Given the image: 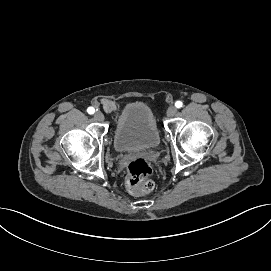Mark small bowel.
Returning <instances> with one entry per match:
<instances>
[{
	"label": "small bowel",
	"mask_w": 271,
	"mask_h": 271,
	"mask_svg": "<svg viewBox=\"0 0 271 271\" xmlns=\"http://www.w3.org/2000/svg\"><path fill=\"white\" fill-rule=\"evenodd\" d=\"M102 106L105 109V111L109 113L114 112L118 109L116 103L109 99H103Z\"/></svg>",
	"instance_id": "obj_1"
}]
</instances>
